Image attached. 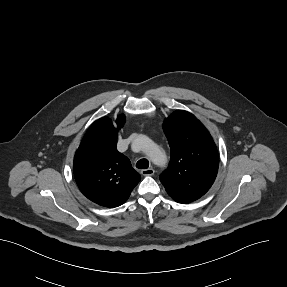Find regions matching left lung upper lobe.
Listing matches in <instances>:
<instances>
[{
  "label": "left lung upper lobe",
  "mask_w": 287,
  "mask_h": 287,
  "mask_svg": "<svg viewBox=\"0 0 287 287\" xmlns=\"http://www.w3.org/2000/svg\"><path fill=\"white\" fill-rule=\"evenodd\" d=\"M163 130L170 145L171 159L160 181L176 202H193L215 181L219 166L216 145L203 124L184 110L170 115Z\"/></svg>",
  "instance_id": "5c2ea615"
}]
</instances>
